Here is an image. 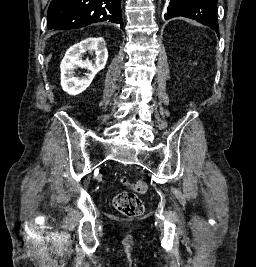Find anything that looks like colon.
<instances>
[{
  "label": "colon",
  "instance_id": "obj_1",
  "mask_svg": "<svg viewBox=\"0 0 256 267\" xmlns=\"http://www.w3.org/2000/svg\"><path fill=\"white\" fill-rule=\"evenodd\" d=\"M121 180L126 182L127 178L123 176ZM131 188L135 189V192H146L148 190V186L144 182L134 183ZM113 204L121 215L129 218L138 217L144 211V203L134 193H125V195L115 197Z\"/></svg>",
  "mask_w": 256,
  "mask_h": 267
}]
</instances>
